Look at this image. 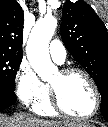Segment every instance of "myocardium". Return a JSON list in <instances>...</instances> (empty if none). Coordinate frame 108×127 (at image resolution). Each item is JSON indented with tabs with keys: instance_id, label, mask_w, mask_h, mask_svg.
I'll use <instances>...</instances> for the list:
<instances>
[{
	"instance_id": "myocardium-1",
	"label": "myocardium",
	"mask_w": 108,
	"mask_h": 127,
	"mask_svg": "<svg viewBox=\"0 0 108 127\" xmlns=\"http://www.w3.org/2000/svg\"><path fill=\"white\" fill-rule=\"evenodd\" d=\"M75 73L82 75L87 80V82L89 83V85L93 91L95 101H94V107H93L92 111L86 115H75V114L70 113L64 107L57 87L50 83L49 89H50L52 106L58 113L65 115L67 117L74 118V119H80V120L90 119L97 113V111L100 107V103H101L100 92H99V89H98L97 84L95 83L94 79L84 69H81L78 67H66V68H63L59 71V74L62 77H65V76H68L71 74H75Z\"/></svg>"
}]
</instances>
